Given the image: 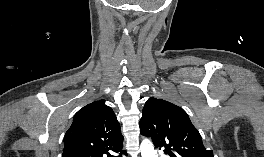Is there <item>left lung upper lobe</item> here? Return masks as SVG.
<instances>
[{"mask_svg": "<svg viewBox=\"0 0 264 157\" xmlns=\"http://www.w3.org/2000/svg\"><path fill=\"white\" fill-rule=\"evenodd\" d=\"M140 132L169 157H213L187 113L168 101L149 98L142 111Z\"/></svg>", "mask_w": 264, "mask_h": 157, "instance_id": "5c2ea615", "label": "left lung upper lobe"}]
</instances>
